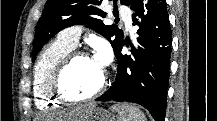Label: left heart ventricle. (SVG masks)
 Here are the masks:
<instances>
[{"mask_svg":"<svg viewBox=\"0 0 217 121\" xmlns=\"http://www.w3.org/2000/svg\"><path fill=\"white\" fill-rule=\"evenodd\" d=\"M103 73L104 68L94 58H80L65 73L64 89L73 97L87 96L98 87Z\"/></svg>","mask_w":217,"mask_h":121,"instance_id":"obj_1","label":"left heart ventricle"}]
</instances>
